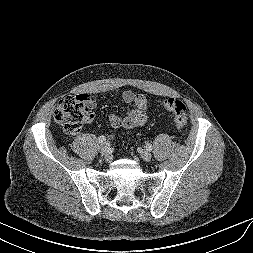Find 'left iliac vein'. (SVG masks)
<instances>
[{"label": "left iliac vein", "instance_id": "obj_1", "mask_svg": "<svg viewBox=\"0 0 253 253\" xmlns=\"http://www.w3.org/2000/svg\"><path fill=\"white\" fill-rule=\"evenodd\" d=\"M140 156L146 162H149L151 160V154L148 150H142Z\"/></svg>", "mask_w": 253, "mask_h": 253}]
</instances>
